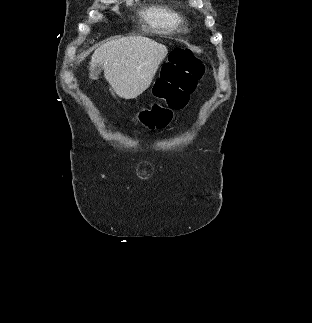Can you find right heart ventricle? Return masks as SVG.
I'll use <instances>...</instances> for the list:
<instances>
[{
  "instance_id": "obj_1",
  "label": "right heart ventricle",
  "mask_w": 312,
  "mask_h": 323,
  "mask_svg": "<svg viewBox=\"0 0 312 323\" xmlns=\"http://www.w3.org/2000/svg\"><path fill=\"white\" fill-rule=\"evenodd\" d=\"M149 1L148 5H139L131 14L134 20H144L150 29H179L180 33H191L196 23L194 13H190L182 1ZM174 17V18H173Z\"/></svg>"
}]
</instances>
